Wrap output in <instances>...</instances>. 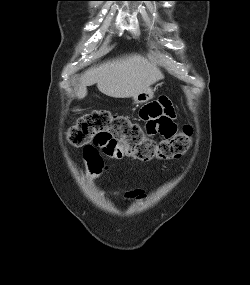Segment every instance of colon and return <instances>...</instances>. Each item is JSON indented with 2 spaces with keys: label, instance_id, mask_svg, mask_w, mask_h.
Here are the masks:
<instances>
[{
  "label": "colon",
  "instance_id": "5ec220e1",
  "mask_svg": "<svg viewBox=\"0 0 250 285\" xmlns=\"http://www.w3.org/2000/svg\"><path fill=\"white\" fill-rule=\"evenodd\" d=\"M143 128L124 115L94 110L81 116L68 129L67 138L74 146L99 148L109 156L126 154L141 161L179 158L191 144L190 126L160 141L145 136Z\"/></svg>",
  "mask_w": 250,
  "mask_h": 285
}]
</instances>
